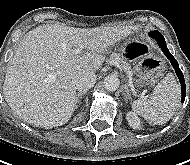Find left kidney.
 Instances as JSON below:
<instances>
[{
	"label": "left kidney",
	"instance_id": "1",
	"mask_svg": "<svg viewBox=\"0 0 190 165\" xmlns=\"http://www.w3.org/2000/svg\"><path fill=\"white\" fill-rule=\"evenodd\" d=\"M126 117H127L129 125L133 129H141V121L134 112H128Z\"/></svg>",
	"mask_w": 190,
	"mask_h": 165
}]
</instances>
